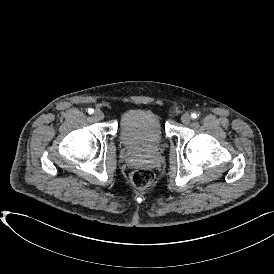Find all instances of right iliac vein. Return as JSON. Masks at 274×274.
<instances>
[{"instance_id":"1","label":"right iliac vein","mask_w":274,"mask_h":274,"mask_svg":"<svg viewBox=\"0 0 274 274\" xmlns=\"http://www.w3.org/2000/svg\"><path fill=\"white\" fill-rule=\"evenodd\" d=\"M93 116L96 120H102L104 118V113L100 110H96Z\"/></svg>"}]
</instances>
